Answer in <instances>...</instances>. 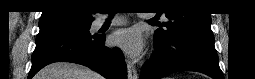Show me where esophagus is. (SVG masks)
Listing matches in <instances>:
<instances>
[{"mask_svg":"<svg viewBox=\"0 0 255 79\" xmlns=\"http://www.w3.org/2000/svg\"><path fill=\"white\" fill-rule=\"evenodd\" d=\"M127 70H128V79L138 78L137 70L130 61L127 62Z\"/></svg>","mask_w":255,"mask_h":79,"instance_id":"1","label":"esophagus"}]
</instances>
